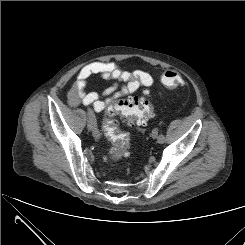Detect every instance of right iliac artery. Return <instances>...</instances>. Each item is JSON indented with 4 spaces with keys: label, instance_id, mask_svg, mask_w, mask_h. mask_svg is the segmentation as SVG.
Wrapping results in <instances>:
<instances>
[{
    "label": "right iliac artery",
    "instance_id": "82829eb1",
    "mask_svg": "<svg viewBox=\"0 0 245 245\" xmlns=\"http://www.w3.org/2000/svg\"><path fill=\"white\" fill-rule=\"evenodd\" d=\"M88 117L92 123L93 133L97 134L100 137V133H99L98 128H97L96 118H95V115L91 109H88Z\"/></svg>",
    "mask_w": 245,
    "mask_h": 245
}]
</instances>
